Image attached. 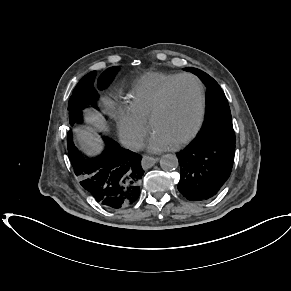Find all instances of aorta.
Listing matches in <instances>:
<instances>
[{
  "label": "aorta",
  "instance_id": "aorta-1",
  "mask_svg": "<svg viewBox=\"0 0 291 291\" xmlns=\"http://www.w3.org/2000/svg\"><path fill=\"white\" fill-rule=\"evenodd\" d=\"M178 158L174 154H165L160 159V166L165 171H172L178 167Z\"/></svg>",
  "mask_w": 291,
  "mask_h": 291
}]
</instances>
